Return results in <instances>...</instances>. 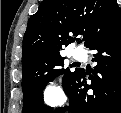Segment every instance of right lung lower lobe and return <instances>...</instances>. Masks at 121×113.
<instances>
[{"instance_id": "98d812e1", "label": "right lung lower lobe", "mask_w": 121, "mask_h": 113, "mask_svg": "<svg viewBox=\"0 0 121 113\" xmlns=\"http://www.w3.org/2000/svg\"><path fill=\"white\" fill-rule=\"evenodd\" d=\"M97 50L93 61L97 62L91 85L86 83V73L77 69L70 78L65 93L69 107L56 109L53 113H121V30L90 47ZM93 90V95L88 90Z\"/></svg>"}]
</instances>
